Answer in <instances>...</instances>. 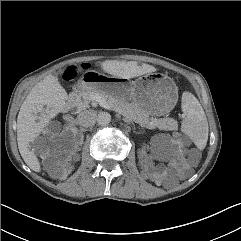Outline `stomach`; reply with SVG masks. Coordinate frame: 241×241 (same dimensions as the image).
I'll list each match as a JSON object with an SVG mask.
<instances>
[{
	"mask_svg": "<svg viewBox=\"0 0 241 241\" xmlns=\"http://www.w3.org/2000/svg\"><path fill=\"white\" fill-rule=\"evenodd\" d=\"M79 86L95 90L118 100H131L139 109L153 116L169 113L178 100V88L174 81L161 72L140 76L134 81L98 74L97 78L82 77Z\"/></svg>",
	"mask_w": 241,
	"mask_h": 241,
	"instance_id": "1",
	"label": "stomach"
}]
</instances>
